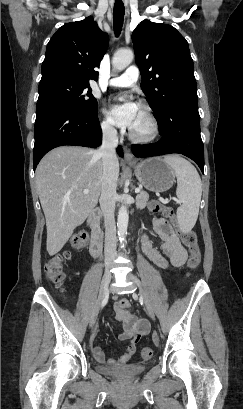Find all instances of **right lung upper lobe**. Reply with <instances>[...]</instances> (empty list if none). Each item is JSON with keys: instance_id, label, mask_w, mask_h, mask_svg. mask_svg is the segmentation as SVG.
Masks as SVG:
<instances>
[{"instance_id": "right-lung-upper-lobe-1", "label": "right lung upper lobe", "mask_w": 243, "mask_h": 409, "mask_svg": "<svg viewBox=\"0 0 243 409\" xmlns=\"http://www.w3.org/2000/svg\"><path fill=\"white\" fill-rule=\"evenodd\" d=\"M108 44V35L91 16L63 25L47 45L41 79L59 76L85 84L97 81L94 68L99 67Z\"/></svg>"}]
</instances>
